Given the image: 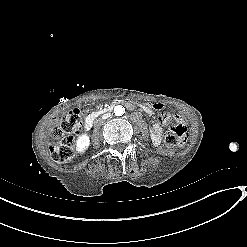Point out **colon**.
Masks as SVG:
<instances>
[{
  "label": "colon",
  "instance_id": "obj_1",
  "mask_svg": "<svg viewBox=\"0 0 247 247\" xmlns=\"http://www.w3.org/2000/svg\"><path fill=\"white\" fill-rule=\"evenodd\" d=\"M156 111H161L163 102L156 101L153 104ZM83 122V112L74 109L70 113L55 120V125L51 131L54 142L49 145V150L53 159L60 164L70 161L74 156L73 133ZM188 137L187 127L184 124L171 126L170 131L164 137V144L168 148H175L186 144Z\"/></svg>",
  "mask_w": 247,
  "mask_h": 247
}]
</instances>
